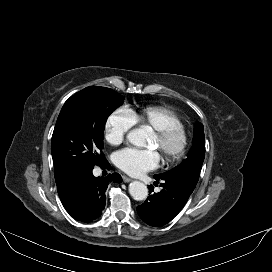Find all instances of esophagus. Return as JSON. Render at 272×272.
I'll use <instances>...</instances> for the list:
<instances>
[{
  "label": "esophagus",
  "instance_id": "obj_1",
  "mask_svg": "<svg viewBox=\"0 0 272 272\" xmlns=\"http://www.w3.org/2000/svg\"><path fill=\"white\" fill-rule=\"evenodd\" d=\"M123 181H124L125 183H128V182H131L132 179L129 178V177H127V176H123Z\"/></svg>",
  "mask_w": 272,
  "mask_h": 272
}]
</instances>
